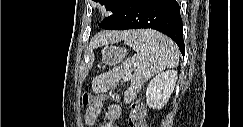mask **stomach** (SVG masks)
Masks as SVG:
<instances>
[{"label": "stomach", "instance_id": "obj_1", "mask_svg": "<svg viewBox=\"0 0 243 127\" xmlns=\"http://www.w3.org/2000/svg\"><path fill=\"white\" fill-rule=\"evenodd\" d=\"M127 55L125 48H117L115 46L105 47L102 50V61L108 65H116L124 60Z\"/></svg>", "mask_w": 243, "mask_h": 127}]
</instances>
